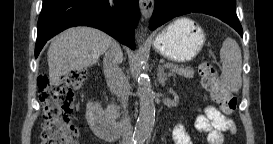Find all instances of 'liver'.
Listing matches in <instances>:
<instances>
[{"label":"liver","mask_w":273,"mask_h":144,"mask_svg":"<svg viewBox=\"0 0 273 144\" xmlns=\"http://www.w3.org/2000/svg\"><path fill=\"white\" fill-rule=\"evenodd\" d=\"M113 43L109 35L91 27H73L60 33L47 54L50 84L55 86L69 72L96 64Z\"/></svg>","instance_id":"6515ba94"}]
</instances>
